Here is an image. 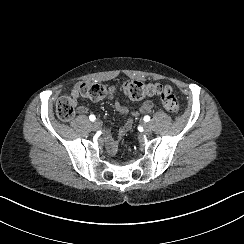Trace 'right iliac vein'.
<instances>
[{
	"mask_svg": "<svg viewBox=\"0 0 244 244\" xmlns=\"http://www.w3.org/2000/svg\"><path fill=\"white\" fill-rule=\"evenodd\" d=\"M92 128H93V130H98L100 128V122L99 121H94L92 123Z\"/></svg>",
	"mask_w": 244,
	"mask_h": 244,
	"instance_id": "obj_1",
	"label": "right iliac vein"
}]
</instances>
